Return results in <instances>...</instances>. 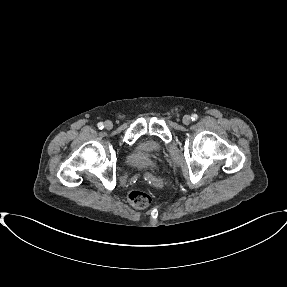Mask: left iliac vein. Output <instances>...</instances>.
I'll return each mask as SVG.
<instances>
[{"label": "left iliac vein", "instance_id": "4c4485c4", "mask_svg": "<svg viewBox=\"0 0 287 287\" xmlns=\"http://www.w3.org/2000/svg\"><path fill=\"white\" fill-rule=\"evenodd\" d=\"M183 123H184L185 125H189V124L191 123V117H190L189 115H185V116L183 117Z\"/></svg>", "mask_w": 287, "mask_h": 287}]
</instances>
